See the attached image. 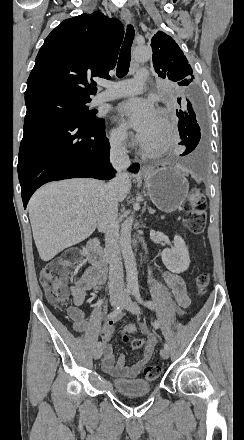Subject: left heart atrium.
<instances>
[{"label": "left heart atrium", "mask_w": 244, "mask_h": 440, "mask_svg": "<svg viewBox=\"0 0 244 440\" xmlns=\"http://www.w3.org/2000/svg\"><path fill=\"white\" fill-rule=\"evenodd\" d=\"M119 113L125 122L145 134L153 125L156 118V109L149 100L135 98L119 107Z\"/></svg>", "instance_id": "1"}]
</instances>
